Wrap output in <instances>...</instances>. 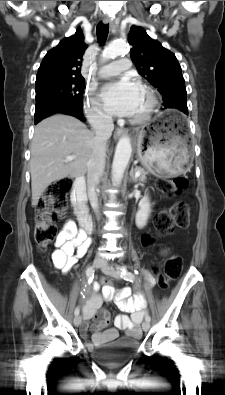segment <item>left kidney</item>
Returning <instances> with one entry per match:
<instances>
[{
    "label": "left kidney",
    "instance_id": "obj_1",
    "mask_svg": "<svg viewBox=\"0 0 225 395\" xmlns=\"http://www.w3.org/2000/svg\"><path fill=\"white\" fill-rule=\"evenodd\" d=\"M139 210L136 213V218H135V222H136V226L138 228H143L146 223L147 220L149 218L151 209H150V201L148 196H144L140 202H139Z\"/></svg>",
    "mask_w": 225,
    "mask_h": 395
}]
</instances>
